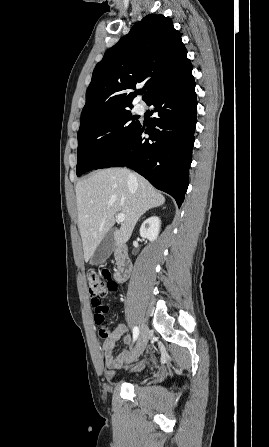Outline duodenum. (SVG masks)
<instances>
[{
    "label": "duodenum",
    "instance_id": "1",
    "mask_svg": "<svg viewBox=\"0 0 269 447\" xmlns=\"http://www.w3.org/2000/svg\"><path fill=\"white\" fill-rule=\"evenodd\" d=\"M115 270L114 275L117 281L122 282L128 279L132 264L130 257L128 255L127 248L125 246H121L117 251L115 255Z\"/></svg>",
    "mask_w": 269,
    "mask_h": 447
}]
</instances>
